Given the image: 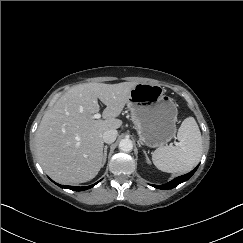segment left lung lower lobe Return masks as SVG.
<instances>
[{"mask_svg": "<svg viewBox=\"0 0 243 243\" xmlns=\"http://www.w3.org/2000/svg\"><path fill=\"white\" fill-rule=\"evenodd\" d=\"M198 166L195 169H193L191 172H189L188 174L177 177V178L173 179L172 181L168 182L167 184L152 185V186L155 187V188H158V189H172V188L176 187L178 184L187 181L195 173Z\"/></svg>", "mask_w": 243, "mask_h": 243, "instance_id": "obj_1", "label": "left lung lower lobe"}]
</instances>
